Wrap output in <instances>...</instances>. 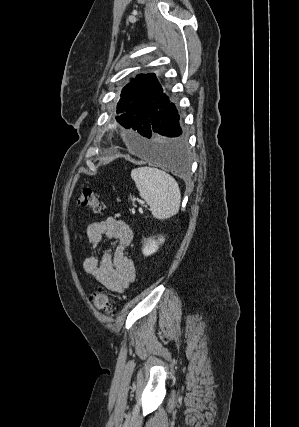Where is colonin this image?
I'll return each mask as SVG.
<instances>
[{
    "instance_id": "5ec220e1",
    "label": "colon",
    "mask_w": 299,
    "mask_h": 427,
    "mask_svg": "<svg viewBox=\"0 0 299 427\" xmlns=\"http://www.w3.org/2000/svg\"><path fill=\"white\" fill-rule=\"evenodd\" d=\"M77 206L91 212H98L101 209L99 198L91 189H84L81 191L77 199ZM92 301L99 311L106 315H112L113 304L105 291H96L92 296Z\"/></svg>"
}]
</instances>
